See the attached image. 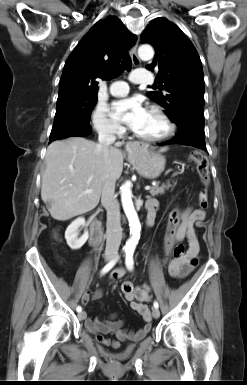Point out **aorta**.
I'll return each mask as SVG.
<instances>
[{
	"label": "aorta",
	"instance_id": "obj_1",
	"mask_svg": "<svg viewBox=\"0 0 247 385\" xmlns=\"http://www.w3.org/2000/svg\"><path fill=\"white\" fill-rule=\"evenodd\" d=\"M138 55L143 60H150L154 56V50L150 45H141ZM121 202L123 210L129 222L130 238L124 246L125 251L133 252L140 239L141 225L132 201V191L130 182L124 183L121 188Z\"/></svg>",
	"mask_w": 247,
	"mask_h": 385
}]
</instances>
